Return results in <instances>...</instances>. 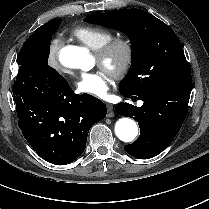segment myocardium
Masks as SVG:
<instances>
[{
	"mask_svg": "<svg viewBox=\"0 0 209 209\" xmlns=\"http://www.w3.org/2000/svg\"><path fill=\"white\" fill-rule=\"evenodd\" d=\"M97 61L113 78L123 77L134 59V45L128 38L114 37L95 52Z\"/></svg>",
	"mask_w": 209,
	"mask_h": 209,
	"instance_id": "f54148a6",
	"label": "myocardium"
}]
</instances>
